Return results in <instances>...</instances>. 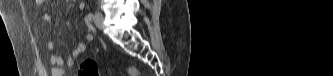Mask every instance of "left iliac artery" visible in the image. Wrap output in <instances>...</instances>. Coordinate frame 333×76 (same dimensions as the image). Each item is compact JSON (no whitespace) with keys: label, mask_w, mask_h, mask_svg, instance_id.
Returning a JSON list of instances; mask_svg holds the SVG:
<instances>
[{"label":"left iliac artery","mask_w":333,"mask_h":76,"mask_svg":"<svg viewBox=\"0 0 333 76\" xmlns=\"http://www.w3.org/2000/svg\"><path fill=\"white\" fill-rule=\"evenodd\" d=\"M88 20H93L94 19V14L93 13H89L87 16Z\"/></svg>","instance_id":"44dca946"}]
</instances>
